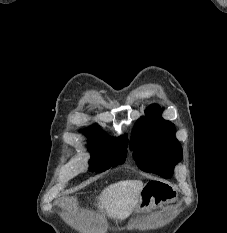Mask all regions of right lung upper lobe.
I'll return each mask as SVG.
<instances>
[{
	"mask_svg": "<svg viewBox=\"0 0 227 233\" xmlns=\"http://www.w3.org/2000/svg\"><path fill=\"white\" fill-rule=\"evenodd\" d=\"M84 133L87 134V137L89 138V145H95L98 143H101L105 140H108L109 138L100 131V129L97 126H92L88 128V130L83 131ZM117 140H120L121 143L124 145V147L127 149V136H120L119 138H115Z\"/></svg>",
	"mask_w": 227,
	"mask_h": 233,
	"instance_id": "1",
	"label": "right lung upper lobe"
}]
</instances>
